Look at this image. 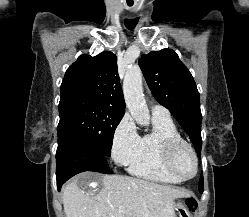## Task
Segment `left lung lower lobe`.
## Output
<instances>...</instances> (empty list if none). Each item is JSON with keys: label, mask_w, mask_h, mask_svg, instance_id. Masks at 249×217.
Here are the masks:
<instances>
[{"label": "left lung lower lobe", "mask_w": 249, "mask_h": 217, "mask_svg": "<svg viewBox=\"0 0 249 217\" xmlns=\"http://www.w3.org/2000/svg\"><path fill=\"white\" fill-rule=\"evenodd\" d=\"M200 180L203 181V177L202 176H201Z\"/></svg>", "instance_id": "1"}]
</instances>
